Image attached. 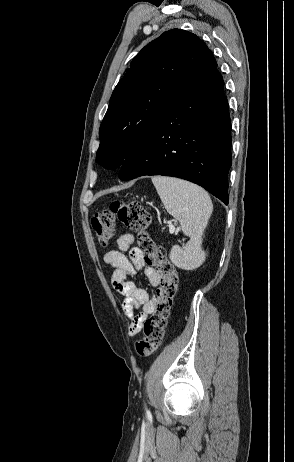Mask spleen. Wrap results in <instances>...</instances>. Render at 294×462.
<instances>
[{"label": "spleen", "instance_id": "spleen-1", "mask_svg": "<svg viewBox=\"0 0 294 462\" xmlns=\"http://www.w3.org/2000/svg\"><path fill=\"white\" fill-rule=\"evenodd\" d=\"M152 182L166 210L180 221L183 233L190 237L185 247H172L171 261L182 269L199 267L205 260L202 236L213 211L210 196L198 185L173 177L155 176Z\"/></svg>", "mask_w": 294, "mask_h": 462}]
</instances>
